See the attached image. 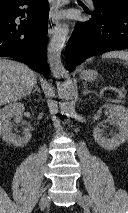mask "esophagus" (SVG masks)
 Returning <instances> with one entry per match:
<instances>
[{"instance_id": "34e87169", "label": "esophagus", "mask_w": 128, "mask_h": 213, "mask_svg": "<svg viewBox=\"0 0 128 213\" xmlns=\"http://www.w3.org/2000/svg\"><path fill=\"white\" fill-rule=\"evenodd\" d=\"M51 7L49 11V19H48V35L51 36L55 30L59 26V21L57 20L56 16L60 9L66 3V0H51Z\"/></svg>"}]
</instances>
